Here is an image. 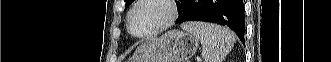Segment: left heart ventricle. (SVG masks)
<instances>
[{
    "label": "left heart ventricle",
    "mask_w": 331,
    "mask_h": 62,
    "mask_svg": "<svg viewBox=\"0 0 331 62\" xmlns=\"http://www.w3.org/2000/svg\"><path fill=\"white\" fill-rule=\"evenodd\" d=\"M168 15L167 7L159 1L144 3L133 14L132 30L142 34L158 26Z\"/></svg>",
    "instance_id": "1"
}]
</instances>
